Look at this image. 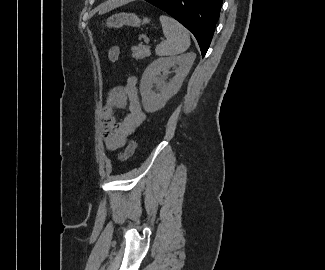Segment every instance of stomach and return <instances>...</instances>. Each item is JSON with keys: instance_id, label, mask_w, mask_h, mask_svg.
<instances>
[{"instance_id": "0dacf381", "label": "stomach", "mask_w": 325, "mask_h": 270, "mask_svg": "<svg viewBox=\"0 0 325 270\" xmlns=\"http://www.w3.org/2000/svg\"><path fill=\"white\" fill-rule=\"evenodd\" d=\"M150 20L148 18H144L141 20L137 15L133 13H118L114 14L111 17H109L106 21L107 27L111 28H120L124 25L132 26V27H137L140 26L141 24H147L149 23Z\"/></svg>"}]
</instances>
